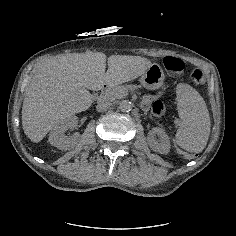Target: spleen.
Masks as SVG:
<instances>
[{"mask_svg": "<svg viewBox=\"0 0 236 236\" xmlns=\"http://www.w3.org/2000/svg\"><path fill=\"white\" fill-rule=\"evenodd\" d=\"M177 101L181 122L176 133V142L188 152L199 153L206 147L211 130L207 105L189 85L178 88Z\"/></svg>", "mask_w": 236, "mask_h": 236, "instance_id": "3e777b00", "label": "spleen"}]
</instances>
